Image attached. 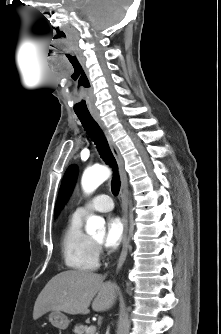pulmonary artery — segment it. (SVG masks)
Instances as JSON below:
<instances>
[{"label":"pulmonary artery","instance_id":"e3ab8cb5","mask_svg":"<svg viewBox=\"0 0 221 334\" xmlns=\"http://www.w3.org/2000/svg\"><path fill=\"white\" fill-rule=\"evenodd\" d=\"M114 208V202L109 195L100 194L92 198L88 203L78 207L74 215L84 217L89 211L108 212Z\"/></svg>","mask_w":221,"mask_h":334}]
</instances>
